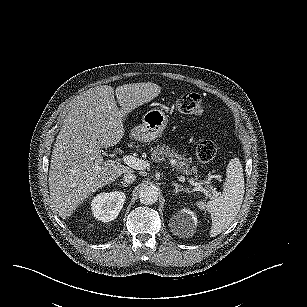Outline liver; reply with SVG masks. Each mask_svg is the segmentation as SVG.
Masks as SVG:
<instances>
[{"instance_id": "obj_1", "label": "liver", "mask_w": 307, "mask_h": 307, "mask_svg": "<svg viewBox=\"0 0 307 307\" xmlns=\"http://www.w3.org/2000/svg\"><path fill=\"white\" fill-rule=\"evenodd\" d=\"M161 92L151 82L90 88L70 104L54 143L48 175L52 207L70 217L92 193L133 170L115 160L104 161L102 149L124 136L123 118ZM120 105V109L117 106Z\"/></svg>"}]
</instances>
